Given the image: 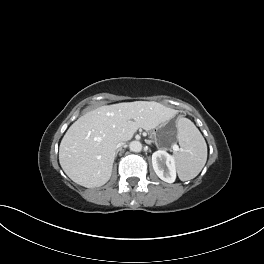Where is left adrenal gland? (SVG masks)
<instances>
[{"label":"left adrenal gland","mask_w":264,"mask_h":264,"mask_svg":"<svg viewBox=\"0 0 264 264\" xmlns=\"http://www.w3.org/2000/svg\"><path fill=\"white\" fill-rule=\"evenodd\" d=\"M152 141H148L147 144L151 145Z\"/></svg>","instance_id":"left-adrenal-gland-1"}]
</instances>
